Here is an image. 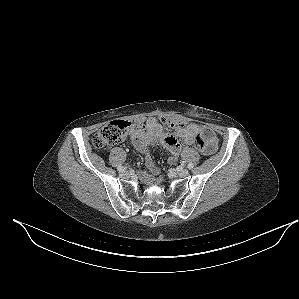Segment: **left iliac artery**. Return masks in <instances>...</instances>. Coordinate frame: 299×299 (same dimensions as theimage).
Here are the masks:
<instances>
[{
    "label": "left iliac artery",
    "instance_id": "left-iliac-artery-1",
    "mask_svg": "<svg viewBox=\"0 0 299 299\" xmlns=\"http://www.w3.org/2000/svg\"><path fill=\"white\" fill-rule=\"evenodd\" d=\"M187 167H188V169H193V167H194V165L192 164V163H189L188 165H187Z\"/></svg>",
    "mask_w": 299,
    "mask_h": 299
}]
</instances>
